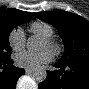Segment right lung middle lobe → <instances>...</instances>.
I'll return each mask as SVG.
<instances>
[{"mask_svg":"<svg viewBox=\"0 0 89 89\" xmlns=\"http://www.w3.org/2000/svg\"><path fill=\"white\" fill-rule=\"evenodd\" d=\"M22 23L7 16L0 17V60L10 57L12 50L9 45V34Z\"/></svg>","mask_w":89,"mask_h":89,"instance_id":"dd1d6c3e","label":"right lung middle lobe"}]
</instances>
